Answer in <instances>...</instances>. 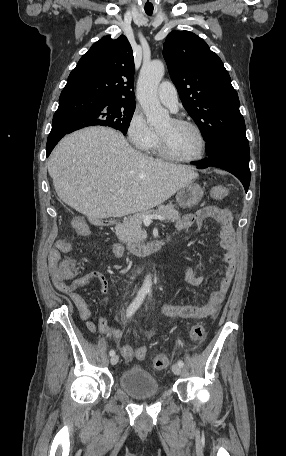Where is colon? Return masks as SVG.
<instances>
[{
  "label": "colon",
  "mask_w": 286,
  "mask_h": 456,
  "mask_svg": "<svg viewBox=\"0 0 286 456\" xmlns=\"http://www.w3.org/2000/svg\"><path fill=\"white\" fill-rule=\"evenodd\" d=\"M228 188L220 185L211 188L210 195L213 198L219 199L227 196ZM75 229L82 235H88L90 230L86 222L80 218H77L74 222ZM78 275L77 265L71 260H65L58 262L54 268V276L58 281L64 282L66 280H74ZM206 330L202 324L194 325L191 328L190 336L193 341L199 342L205 336ZM147 354V349L144 346L137 347L134 350L133 357L139 360L144 359ZM154 368L157 370H163L168 366V359L164 355H158L153 360Z\"/></svg>",
  "instance_id": "obj_1"
}]
</instances>
